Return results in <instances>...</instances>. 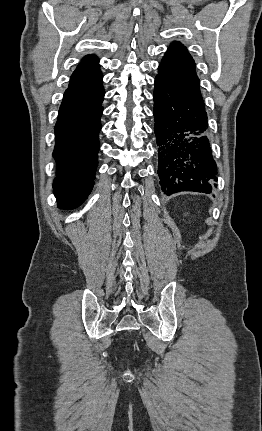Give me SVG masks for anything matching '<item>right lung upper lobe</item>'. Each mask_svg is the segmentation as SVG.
Masks as SVG:
<instances>
[{"label": "right lung upper lobe", "mask_w": 262, "mask_h": 431, "mask_svg": "<svg viewBox=\"0 0 262 431\" xmlns=\"http://www.w3.org/2000/svg\"><path fill=\"white\" fill-rule=\"evenodd\" d=\"M102 74L98 58L94 55L85 56L73 72L68 89L93 88L102 85Z\"/></svg>", "instance_id": "obj_1"}]
</instances>
